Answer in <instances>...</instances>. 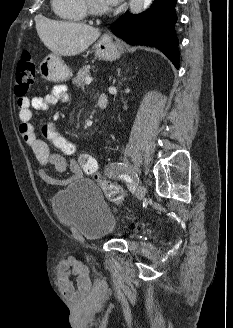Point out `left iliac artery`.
Segmentation results:
<instances>
[{
  "instance_id": "1",
  "label": "left iliac artery",
  "mask_w": 233,
  "mask_h": 328,
  "mask_svg": "<svg viewBox=\"0 0 233 328\" xmlns=\"http://www.w3.org/2000/svg\"><path fill=\"white\" fill-rule=\"evenodd\" d=\"M118 177L125 180L128 183L129 190L134 193L136 186L133 180L126 174H119Z\"/></svg>"
}]
</instances>
